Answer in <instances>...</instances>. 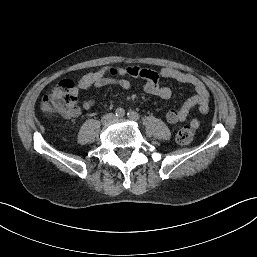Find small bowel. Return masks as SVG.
Returning <instances> with one entry per match:
<instances>
[{
	"instance_id": "c3829d8e",
	"label": "small bowel",
	"mask_w": 257,
	"mask_h": 257,
	"mask_svg": "<svg viewBox=\"0 0 257 257\" xmlns=\"http://www.w3.org/2000/svg\"><path fill=\"white\" fill-rule=\"evenodd\" d=\"M128 78L142 79L144 82L143 89L146 93L163 99H169L172 95V90L169 86L162 84V79L176 80L193 88L195 94L189 97L180 108H171L166 112L165 118L169 124L174 125L184 122L194 107H198L201 114H207L209 111V92L204 82L193 74L171 67H165L160 71H156L143 66H105L80 77L76 86V94L83 90L105 86H119L124 90H128L131 87ZM94 105L95 101L92 99L83 100L81 103V107L84 110H90ZM80 115L81 109L79 107L73 112L66 114L68 118H77ZM190 126L198 128L200 126L199 119H191Z\"/></svg>"
}]
</instances>
